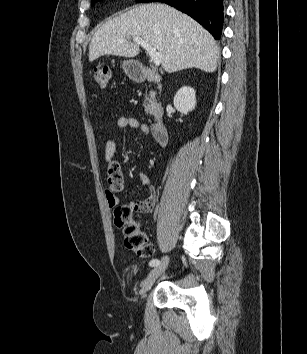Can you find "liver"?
Instances as JSON below:
<instances>
[{
  "label": "liver",
  "instance_id": "6515ba94",
  "mask_svg": "<svg viewBox=\"0 0 307 354\" xmlns=\"http://www.w3.org/2000/svg\"><path fill=\"white\" fill-rule=\"evenodd\" d=\"M134 37L162 55L161 65L168 73L217 68L220 51L212 35L188 15L161 3L136 5L99 27L89 45V61L103 55L137 56L140 49L130 41Z\"/></svg>",
  "mask_w": 307,
  "mask_h": 354
}]
</instances>
